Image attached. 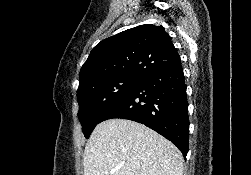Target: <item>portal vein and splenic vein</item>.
<instances>
[{"instance_id": "18ae733b", "label": "portal vein and splenic vein", "mask_w": 251, "mask_h": 175, "mask_svg": "<svg viewBox=\"0 0 251 175\" xmlns=\"http://www.w3.org/2000/svg\"><path fill=\"white\" fill-rule=\"evenodd\" d=\"M115 171H118V169H111L110 173H115Z\"/></svg>"}]
</instances>
